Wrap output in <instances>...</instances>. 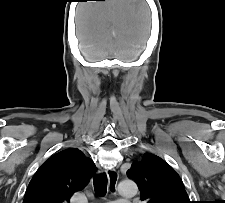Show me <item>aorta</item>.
Masks as SVG:
<instances>
[{
	"label": "aorta",
	"instance_id": "762f6f07",
	"mask_svg": "<svg viewBox=\"0 0 225 203\" xmlns=\"http://www.w3.org/2000/svg\"><path fill=\"white\" fill-rule=\"evenodd\" d=\"M117 189L120 195L126 197L134 196L138 191L136 183L128 179L120 181Z\"/></svg>",
	"mask_w": 225,
	"mask_h": 203
}]
</instances>
